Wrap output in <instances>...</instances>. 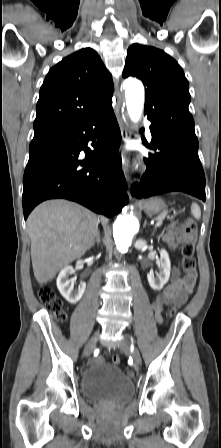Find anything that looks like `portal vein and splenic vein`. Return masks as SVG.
Wrapping results in <instances>:
<instances>
[{
	"mask_svg": "<svg viewBox=\"0 0 221 448\" xmlns=\"http://www.w3.org/2000/svg\"><path fill=\"white\" fill-rule=\"evenodd\" d=\"M161 225H162V221L160 220V221L156 222L155 227H160Z\"/></svg>",
	"mask_w": 221,
	"mask_h": 448,
	"instance_id": "obj_1",
	"label": "portal vein and splenic vein"
}]
</instances>
